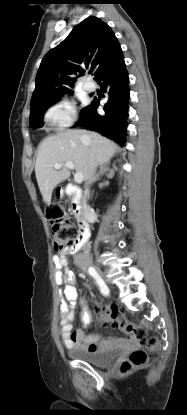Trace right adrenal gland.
<instances>
[{
  "instance_id": "1",
  "label": "right adrenal gland",
  "mask_w": 187,
  "mask_h": 415,
  "mask_svg": "<svg viewBox=\"0 0 187 415\" xmlns=\"http://www.w3.org/2000/svg\"><path fill=\"white\" fill-rule=\"evenodd\" d=\"M108 171H109L110 174H114V169H110V163L107 162V163L102 164L101 167H100V171L94 177L92 182H96V181L100 180V177Z\"/></svg>"
}]
</instances>
